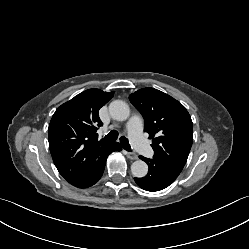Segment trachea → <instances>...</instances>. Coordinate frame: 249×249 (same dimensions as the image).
<instances>
[{"mask_svg":"<svg viewBox=\"0 0 249 249\" xmlns=\"http://www.w3.org/2000/svg\"><path fill=\"white\" fill-rule=\"evenodd\" d=\"M117 138H118V132H117L116 130L110 131V132L105 136V139L110 140V141H115V140H117ZM120 144H121V146H122L126 151H129V152L132 151L131 146H130L129 141H128L127 138H125V137L122 136V137L120 138Z\"/></svg>","mask_w":249,"mask_h":249,"instance_id":"1","label":"trachea"}]
</instances>
